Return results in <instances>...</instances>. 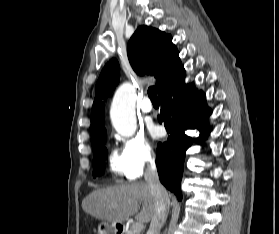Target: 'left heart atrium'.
Returning a JSON list of instances; mask_svg holds the SVG:
<instances>
[{
	"instance_id": "obj_1",
	"label": "left heart atrium",
	"mask_w": 279,
	"mask_h": 234,
	"mask_svg": "<svg viewBox=\"0 0 279 234\" xmlns=\"http://www.w3.org/2000/svg\"><path fill=\"white\" fill-rule=\"evenodd\" d=\"M149 132L153 137H158L160 135V128L156 125H150Z\"/></svg>"
}]
</instances>
